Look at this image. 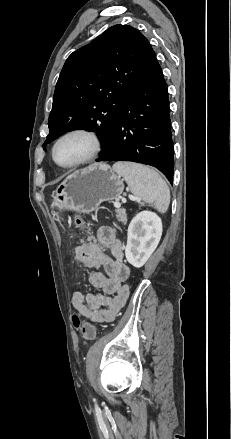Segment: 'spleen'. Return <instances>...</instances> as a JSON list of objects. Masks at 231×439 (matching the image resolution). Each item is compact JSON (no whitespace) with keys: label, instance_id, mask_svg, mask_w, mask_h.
<instances>
[{"label":"spleen","instance_id":"spleen-1","mask_svg":"<svg viewBox=\"0 0 231 439\" xmlns=\"http://www.w3.org/2000/svg\"><path fill=\"white\" fill-rule=\"evenodd\" d=\"M113 170L124 178L141 205L148 203L160 213L167 211L170 204V190L156 171L130 162L115 163Z\"/></svg>","mask_w":231,"mask_h":439}]
</instances>
